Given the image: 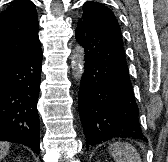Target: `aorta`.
<instances>
[{
  "label": "aorta",
  "mask_w": 168,
  "mask_h": 162,
  "mask_svg": "<svg viewBox=\"0 0 168 162\" xmlns=\"http://www.w3.org/2000/svg\"><path fill=\"white\" fill-rule=\"evenodd\" d=\"M85 53L83 47L77 45L71 56V66H72V75L74 79L80 83L81 78L84 74V60Z\"/></svg>",
  "instance_id": "762f6f07"
}]
</instances>
